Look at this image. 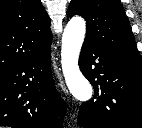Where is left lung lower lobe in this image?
<instances>
[{
    "mask_svg": "<svg viewBox=\"0 0 142 128\" xmlns=\"http://www.w3.org/2000/svg\"><path fill=\"white\" fill-rule=\"evenodd\" d=\"M79 67L95 90L78 113L81 128H142V65L84 40Z\"/></svg>",
    "mask_w": 142,
    "mask_h": 128,
    "instance_id": "left-lung-lower-lobe-1",
    "label": "left lung lower lobe"
}]
</instances>
